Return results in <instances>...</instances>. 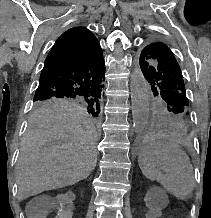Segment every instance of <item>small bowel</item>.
<instances>
[{"instance_id": "small-bowel-1", "label": "small bowel", "mask_w": 211, "mask_h": 218, "mask_svg": "<svg viewBox=\"0 0 211 218\" xmlns=\"http://www.w3.org/2000/svg\"><path fill=\"white\" fill-rule=\"evenodd\" d=\"M159 215L160 213L157 210L150 209L146 214V218H157L159 217ZM69 217H70L69 211L63 207H59L54 211V218H69Z\"/></svg>"}]
</instances>
